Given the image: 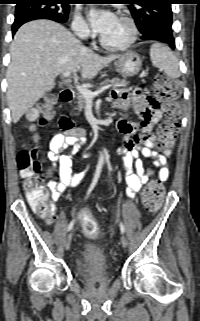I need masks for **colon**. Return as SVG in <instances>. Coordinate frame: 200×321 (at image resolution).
Wrapping results in <instances>:
<instances>
[{
    "label": "colon",
    "instance_id": "5ec220e1",
    "mask_svg": "<svg viewBox=\"0 0 200 321\" xmlns=\"http://www.w3.org/2000/svg\"><path fill=\"white\" fill-rule=\"evenodd\" d=\"M154 94L165 103L166 113V119L158 128V146L165 154H169L175 144L179 128L180 106L177 98L180 94V85L175 79L160 73L154 80ZM55 104V97L49 96L39 105L37 112L30 119L31 130L43 126L53 117ZM38 144L39 140L33 137L29 145L18 151L16 162L32 209L40 217L50 218L52 211L46 202L47 190L40 183L42 163L39 160ZM163 197L164 186L160 180L153 179L145 187L141 202L147 212L154 213L159 209ZM73 211L81 212L82 206L74 205ZM80 220L86 236L96 237L98 235V224L89 212H82Z\"/></svg>",
    "mask_w": 200,
    "mask_h": 321
}]
</instances>
